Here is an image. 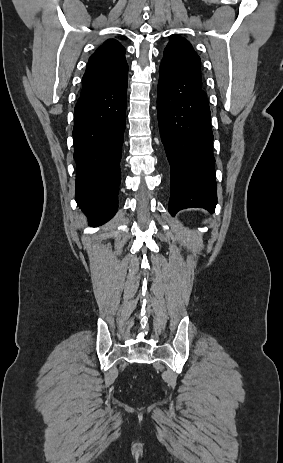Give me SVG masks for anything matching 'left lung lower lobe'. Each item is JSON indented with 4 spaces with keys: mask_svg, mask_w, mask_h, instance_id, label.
<instances>
[{
    "mask_svg": "<svg viewBox=\"0 0 283 463\" xmlns=\"http://www.w3.org/2000/svg\"><path fill=\"white\" fill-rule=\"evenodd\" d=\"M157 114L161 139L171 166L169 212L217 203L211 114L202 87L162 59Z\"/></svg>",
    "mask_w": 283,
    "mask_h": 463,
    "instance_id": "1",
    "label": "left lung lower lobe"
}]
</instances>
